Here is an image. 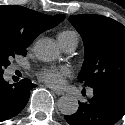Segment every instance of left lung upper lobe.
<instances>
[{
    "mask_svg": "<svg viewBox=\"0 0 125 125\" xmlns=\"http://www.w3.org/2000/svg\"><path fill=\"white\" fill-rule=\"evenodd\" d=\"M69 21L81 34L85 47L79 81L92 88L125 84V27L100 15H71Z\"/></svg>",
    "mask_w": 125,
    "mask_h": 125,
    "instance_id": "5c2ea615",
    "label": "left lung upper lobe"
}]
</instances>
